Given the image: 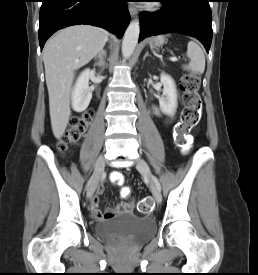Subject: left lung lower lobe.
<instances>
[{
    "mask_svg": "<svg viewBox=\"0 0 258 275\" xmlns=\"http://www.w3.org/2000/svg\"><path fill=\"white\" fill-rule=\"evenodd\" d=\"M156 13H140L139 41L148 36L168 32L197 38L209 52L212 40V15L209 0H163Z\"/></svg>",
    "mask_w": 258,
    "mask_h": 275,
    "instance_id": "0a47b994",
    "label": "left lung lower lobe"
}]
</instances>
